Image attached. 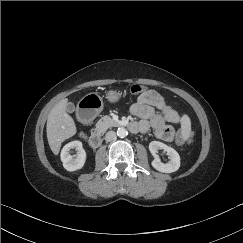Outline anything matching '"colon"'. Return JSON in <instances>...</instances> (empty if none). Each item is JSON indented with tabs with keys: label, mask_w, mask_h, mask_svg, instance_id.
Segmentation results:
<instances>
[{
	"label": "colon",
	"mask_w": 243,
	"mask_h": 243,
	"mask_svg": "<svg viewBox=\"0 0 243 243\" xmlns=\"http://www.w3.org/2000/svg\"><path fill=\"white\" fill-rule=\"evenodd\" d=\"M147 89L145 86H142L140 84H133L130 87V93L132 95H138L141 94L143 92H145ZM194 141V132L192 130H188L186 132H180L177 135V142L180 144H184V145H190L192 144Z\"/></svg>",
	"instance_id": "obj_1"
}]
</instances>
